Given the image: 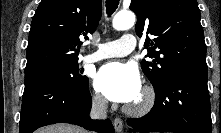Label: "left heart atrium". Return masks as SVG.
Returning a JSON list of instances; mask_svg holds the SVG:
<instances>
[{
  "instance_id": "39dd6f15",
  "label": "left heart atrium",
  "mask_w": 221,
  "mask_h": 133,
  "mask_svg": "<svg viewBox=\"0 0 221 133\" xmlns=\"http://www.w3.org/2000/svg\"><path fill=\"white\" fill-rule=\"evenodd\" d=\"M94 85L108 99L121 103L134 102L142 91L137 69L120 62L103 65L95 75Z\"/></svg>"
}]
</instances>
